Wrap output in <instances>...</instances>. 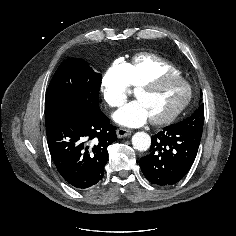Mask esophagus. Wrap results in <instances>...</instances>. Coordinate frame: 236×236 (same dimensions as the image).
<instances>
[{
	"instance_id": "obj_1",
	"label": "esophagus",
	"mask_w": 236,
	"mask_h": 236,
	"mask_svg": "<svg viewBox=\"0 0 236 236\" xmlns=\"http://www.w3.org/2000/svg\"><path fill=\"white\" fill-rule=\"evenodd\" d=\"M116 134H117L118 138H124V137H127L131 134V130L126 129V128H118L116 131Z\"/></svg>"
}]
</instances>
